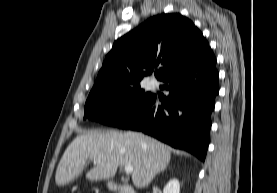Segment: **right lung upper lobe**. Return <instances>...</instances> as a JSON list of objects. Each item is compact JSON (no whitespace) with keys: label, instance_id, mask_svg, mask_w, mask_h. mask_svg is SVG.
Returning a JSON list of instances; mask_svg holds the SVG:
<instances>
[{"label":"right lung upper lobe","instance_id":"right-lung-upper-lobe-1","mask_svg":"<svg viewBox=\"0 0 277 193\" xmlns=\"http://www.w3.org/2000/svg\"><path fill=\"white\" fill-rule=\"evenodd\" d=\"M210 50L201 31L185 16H153L114 42L90 94L139 85L156 67L155 76L162 81Z\"/></svg>","mask_w":277,"mask_h":193}]
</instances>
